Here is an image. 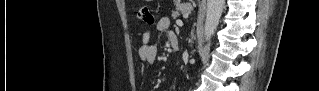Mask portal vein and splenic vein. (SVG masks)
<instances>
[{"label": "portal vein and splenic vein", "instance_id": "portal-vein-and-splenic-vein-1", "mask_svg": "<svg viewBox=\"0 0 319 91\" xmlns=\"http://www.w3.org/2000/svg\"><path fill=\"white\" fill-rule=\"evenodd\" d=\"M176 24H177L178 26H182V25H183V23H182L181 20H177V21H176Z\"/></svg>", "mask_w": 319, "mask_h": 91}]
</instances>
